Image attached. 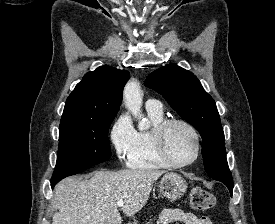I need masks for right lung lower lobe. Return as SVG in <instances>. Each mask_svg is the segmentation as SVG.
<instances>
[{
    "label": "right lung lower lobe",
    "mask_w": 275,
    "mask_h": 224,
    "mask_svg": "<svg viewBox=\"0 0 275 224\" xmlns=\"http://www.w3.org/2000/svg\"><path fill=\"white\" fill-rule=\"evenodd\" d=\"M60 180L51 181V187L54 188V186L59 182Z\"/></svg>",
    "instance_id": "98d812e1"
}]
</instances>
